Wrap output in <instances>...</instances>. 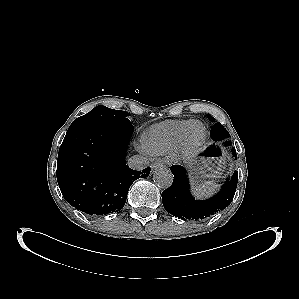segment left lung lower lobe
<instances>
[{
	"label": "left lung lower lobe",
	"instance_id": "left-lung-lower-lobe-1",
	"mask_svg": "<svg viewBox=\"0 0 299 299\" xmlns=\"http://www.w3.org/2000/svg\"><path fill=\"white\" fill-rule=\"evenodd\" d=\"M232 152L234 157H237L234 148ZM171 171L174 175L173 184L162 192V203L167 212L178 218L202 220L225 209L233 200L238 182L237 171L217 195L204 201L195 200L191 196L184 167L173 165Z\"/></svg>",
	"mask_w": 299,
	"mask_h": 299
}]
</instances>
